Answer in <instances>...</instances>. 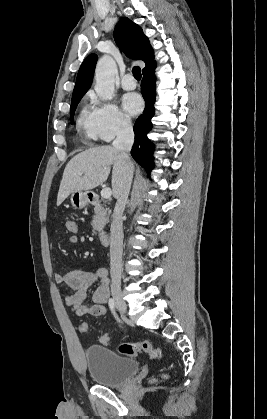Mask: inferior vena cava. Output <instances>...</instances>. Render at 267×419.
I'll use <instances>...</instances> for the list:
<instances>
[{"label": "inferior vena cava", "mask_w": 267, "mask_h": 419, "mask_svg": "<svg viewBox=\"0 0 267 419\" xmlns=\"http://www.w3.org/2000/svg\"><path fill=\"white\" fill-rule=\"evenodd\" d=\"M134 142V132L130 120L122 119L116 131V139L112 145L125 161V173L118 189L117 202L114 208L113 220L110 228V275L111 289H119L122 271L123 230L122 215L129 196L134 166L130 159V150Z\"/></svg>", "instance_id": "inferior-vena-cava-1"}]
</instances>
